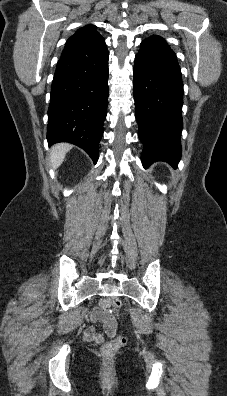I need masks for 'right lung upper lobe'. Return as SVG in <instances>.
Listing matches in <instances>:
<instances>
[{"label": "right lung upper lobe", "mask_w": 227, "mask_h": 396, "mask_svg": "<svg viewBox=\"0 0 227 396\" xmlns=\"http://www.w3.org/2000/svg\"><path fill=\"white\" fill-rule=\"evenodd\" d=\"M103 40V37L96 31L94 25H87L78 29L66 42L65 48L82 47L91 44H97Z\"/></svg>", "instance_id": "cb5924a9"}]
</instances>
